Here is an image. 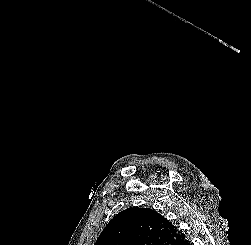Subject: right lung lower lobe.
<instances>
[{
    "label": "right lung lower lobe",
    "mask_w": 251,
    "mask_h": 245,
    "mask_svg": "<svg viewBox=\"0 0 251 245\" xmlns=\"http://www.w3.org/2000/svg\"><path fill=\"white\" fill-rule=\"evenodd\" d=\"M175 245H190V242L184 236L181 240L177 241Z\"/></svg>",
    "instance_id": "right-lung-lower-lobe-1"
}]
</instances>
